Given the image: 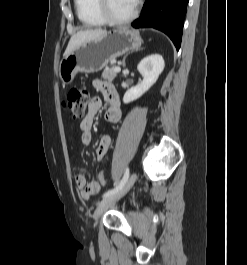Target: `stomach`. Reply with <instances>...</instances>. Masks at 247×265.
Listing matches in <instances>:
<instances>
[{
  "mask_svg": "<svg viewBox=\"0 0 247 265\" xmlns=\"http://www.w3.org/2000/svg\"><path fill=\"white\" fill-rule=\"evenodd\" d=\"M142 39L137 31L118 28L100 37L82 43L65 56L58 69L63 85H69L77 73H94L102 70L112 60L138 49Z\"/></svg>",
  "mask_w": 247,
  "mask_h": 265,
  "instance_id": "stomach-1",
  "label": "stomach"
}]
</instances>
